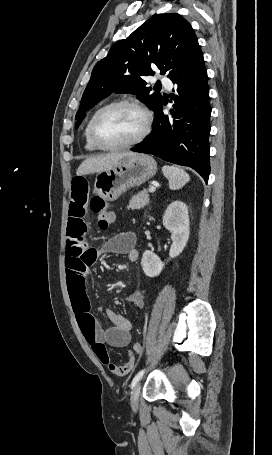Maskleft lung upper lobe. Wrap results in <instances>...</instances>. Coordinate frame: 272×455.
Masks as SVG:
<instances>
[{
	"instance_id": "1",
	"label": "left lung upper lobe",
	"mask_w": 272,
	"mask_h": 455,
	"mask_svg": "<svg viewBox=\"0 0 272 455\" xmlns=\"http://www.w3.org/2000/svg\"><path fill=\"white\" fill-rule=\"evenodd\" d=\"M193 28L177 13L160 14L144 22L128 38L115 43L92 71L76 114V127L85 112L112 93L137 95L155 110L160 93L146 87L143 76L154 75L153 66L170 78L202 56Z\"/></svg>"
}]
</instances>
